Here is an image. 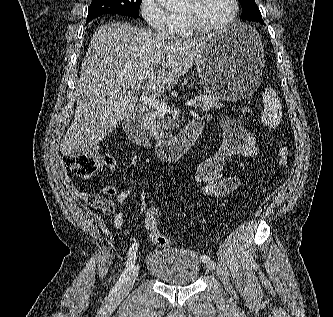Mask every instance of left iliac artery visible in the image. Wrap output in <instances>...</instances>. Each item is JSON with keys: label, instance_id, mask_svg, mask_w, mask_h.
Masks as SVG:
<instances>
[{"label": "left iliac artery", "instance_id": "obj_1", "mask_svg": "<svg viewBox=\"0 0 333 317\" xmlns=\"http://www.w3.org/2000/svg\"><path fill=\"white\" fill-rule=\"evenodd\" d=\"M201 260H202V262L206 263L207 261L210 260V257L207 255H203V256H201Z\"/></svg>", "mask_w": 333, "mask_h": 317}]
</instances>
